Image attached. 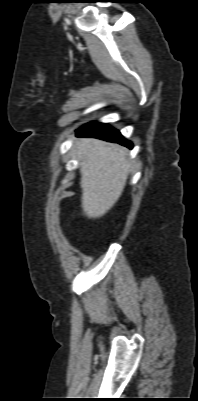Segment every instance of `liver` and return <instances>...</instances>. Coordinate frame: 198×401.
Listing matches in <instances>:
<instances>
[{
	"label": "liver",
	"mask_w": 198,
	"mask_h": 401,
	"mask_svg": "<svg viewBox=\"0 0 198 401\" xmlns=\"http://www.w3.org/2000/svg\"><path fill=\"white\" fill-rule=\"evenodd\" d=\"M80 158L81 207L88 218H100L118 201L131 163L127 149L97 139L77 140Z\"/></svg>",
	"instance_id": "6515ba94"
}]
</instances>
